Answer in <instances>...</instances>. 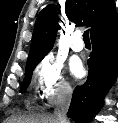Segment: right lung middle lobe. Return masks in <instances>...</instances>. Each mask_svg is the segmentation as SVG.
<instances>
[{
  "label": "right lung middle lobe",
  "mask_w": 118,
  "mask_h": 123,
  "mask_svg": "<svg viewBox=\"0 0 118 123\" xmlns=\"http://www.w3.org/2000/svg\"><path fill=\"white\" fill-rule=\"evenodd\" d=\"M36 65H34L33 67H31L30 69L25 71V78L23 80L20 92L24 93L26 91V89H27V87H28V85L30 84V81H31L32 72H33Z\"/></svg>",
  "instance_id": "right-lung-middle-lobe-1"
}]
</instances>
